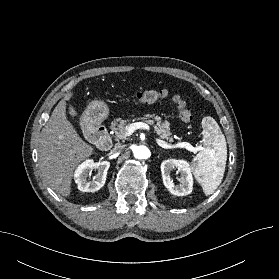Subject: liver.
<instances>
[{"label":"liver","instance_id":"liver-1","mask_svg":"<svg viewBox=\"0 0 279 279\" xmlns=\"http://www.w3.org/2000/svg\"><path fill=\"white\" fill-rule=\"evenodd\" d=\"M66 94L54 108L39 138V167L48 185L62 196H69L75 168L94 153L66 119Z\"/></svg>","mask_w":279,"mask_h":279}]
</instances>
